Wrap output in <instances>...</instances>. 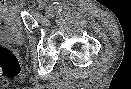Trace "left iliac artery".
<instances>
[{
	"label": "left iliac artery",
	"instance_id": "1",
	"mask_svg": "<svg viewBox=\"0 0 131 89\" xmlns=\"http://www.w3.org/2000/svg\"><path fill=\"white\" fill-rule=\"evenodd\" d=\"M59 8H60L59 5H55V6H54V9H56V10H60Z\"/></svg>",
	"mask_w": 131,
	"mask_h": 89
}]
</instances>
